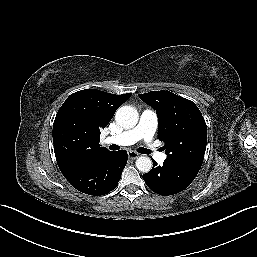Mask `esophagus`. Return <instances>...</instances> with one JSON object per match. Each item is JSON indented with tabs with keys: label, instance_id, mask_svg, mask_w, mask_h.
Instances as JSON below:
<instances>
[{
	"label": "esophagus",
	"instance_id": "1",
	"mask_svg": "<svg viewBox=\"0 0 257 257\" xmlns=\"http://www.w3.org/2000/svg\"><path fill=\"white\" fill-rule=\"evenodd\" d=\"M128 157H129L130 159H136V158L139 157V153L130 150V151H128Z\"/></svg>",
	"mask_w": 257,
	"mask_h": 257
}]
</instances>
